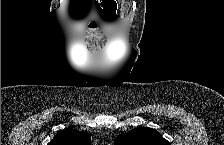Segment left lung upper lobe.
<instances>
[{
	"instance_id": "obj_1",
	"label": "left lung upper lobe",
	"mask_w": 224,
	"mask_h": 145,
	"mask_svg": "<svg viewBox=\"0 0 224 145\" xmlns=\"http://www.w3.org/2000/svg\"><path fill=\"white\" fill-rule=\"evenodd\" d=\"M115 145H170L155 129L139 127L119 136Z\"/></svg>"
}]
</instances>
